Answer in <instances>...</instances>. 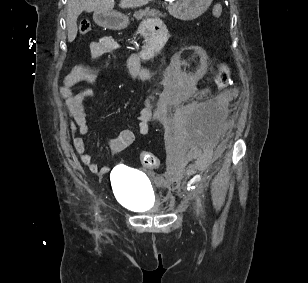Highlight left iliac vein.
Returning <instances> with one entry per match:
<instances>
[{"label":"left iliac vein","instance_id":"obj_1","mask_svg":"<svg viewBox=\"0 0 308 283\" xmlns=\"http://www.w3.org/2000/svg\"><path fill=\"white\" fill-rule=\"evenodd\" d=\"M195 211H196V213L200 212L198 205L195 206Z\"/></svg>","mask_w":308,"mask_h":283}]
</instances>
